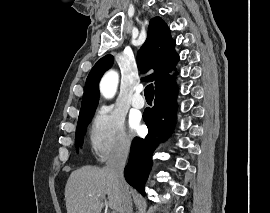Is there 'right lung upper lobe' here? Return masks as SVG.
Instances as JSON below:
<instances>
[{"label": "right lung upper lobe", "instance_id": "cb5924a9", "mask_svg": "<svg viewBox=\"0 0 270 213\" xmlns=\"http://www.w3.org/2000/svg\"><path fill=\"white\" fill-rule=\"evenodd\" d=\"M175 41L170 36V30L159 17L150 21L148 37L138 52V66L142 72L153 68L155 72L144 78L145 81H155V88L171 78L168 74L179 60L174 50ZM113 64V57L106 55L94 65L90 71L82 99L79 118L94 113L99 100L98 83L103 73Z\"/></svg>", "mask_w": 270, "mask_h": 213}]
</instances>
